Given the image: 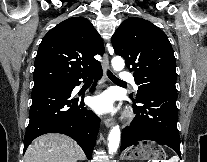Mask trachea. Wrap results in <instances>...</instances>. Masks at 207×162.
I'll list each match as a JSON object with an SVG mask.
<instances>
[{
  "label": "trachea",
  "instance_id": "1",
  "mask_svg": "<svg viewBox=\"0 0 207 162\" xmlns=\"http://www.w3.org/2000/svg\"><path fill=\"white\" fill-rule=\"evenodd\" d=\"M107 75L112 81L124 83L122 80L114 76L110 71L107 72ZM90 79H92V77H90Z\"/></svg>",
  "mask_w": 207,
  "mask_h": 162
}]
</instances>
